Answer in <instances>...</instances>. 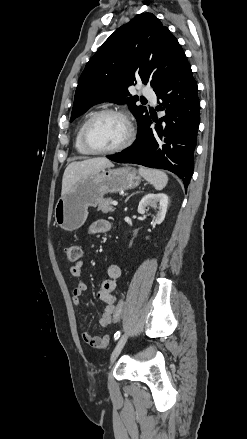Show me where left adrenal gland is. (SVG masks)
I'll return each mask as SVG.
<instances>
[{
  "instance_id": "a2214340",
  "label": "left adrenal gland",
  "mask_w": 247,
  "mask_h": 439,
  "mask_svg": "<svg viewBox=\"0 0 247 439\" xmlns=\"http://www.w3.org/2000/svg\"><path fill=\"white\" fill-rule=\"evenodd\" d=\"M136 193H139V192H136ZM136 193H134V194H136ZM132 195H133V194H132ZM132 195H131V196H132ZM131 196H129V197H128V198L126 199V201H125V202H127V200H128V199H129V198H130Z\"/></svg>"
}]
</instances>
